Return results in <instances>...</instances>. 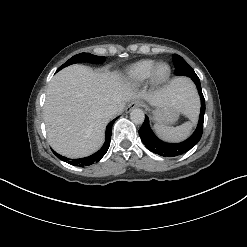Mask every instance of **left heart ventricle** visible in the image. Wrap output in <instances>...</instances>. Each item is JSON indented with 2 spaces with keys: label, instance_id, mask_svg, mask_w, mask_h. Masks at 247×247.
I'll return each mask as SVG.
<instances>
[{
  "label": "left heart ventricle",
  "instance_id": "left-heart-ventricle-1",
  "mask_svg": "<svg viewBox=\"0 0 247 247\" xmlns=\"http://www.w3.org/2000/svg\"><path fill=\"white\" fill-rule=\"evenodd\" d=\"M165 71V69L163 68L162 70H161V72H164Z\"/></svg>",
  "mask_w": 247,
  "mask_h": 247
}]
</instances>
